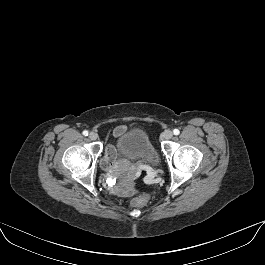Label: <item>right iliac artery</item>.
<instances>
[{
    "mask_svg": "<svg viewBox=\"0 0 265 265\" xmlns=\"http://www.w3.org/2000/svg\"><path fill=\"white\" fill-rule=\"evenodd\" d=\"M84 136H88V131L87 130H84L83 133H82Z\"/></svg>",
    "mask_w": 265,
    "mask_h": 265,
    "instance_id": "right-iliac-artery-1",
    "label": "right iliac artery"
}]
</instances>
